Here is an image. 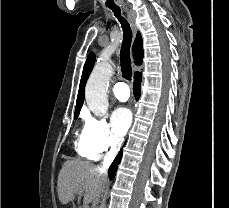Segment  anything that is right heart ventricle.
<instances>
[{"instance_id":"e07e8e85","label":"right heart ventricle","mask_w":229,"mask_h":208,"mask_svg":"<svg viewBox=\"0 0 229 208\" xmlns=\"http://www.w3.org/2000/svg\"><path fill=\"white\" fill-rule=\"evenodd\" d=\"M75 148L81 155L87 158L93 159L97 156L95 153L85 147L81 141V138L75 142Z\"/></svg>"}]
</instances>
